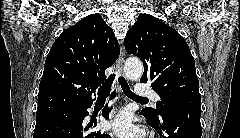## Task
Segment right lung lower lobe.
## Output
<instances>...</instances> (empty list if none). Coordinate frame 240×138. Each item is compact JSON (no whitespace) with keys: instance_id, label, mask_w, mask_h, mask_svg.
<instances>
[{"instance_id":"98d812e1","label":"right lung lower lobe","mask_w":240,"mask_h":138,"mask_svg":"<svg viewBox=\"0 0 240 138\" xmlns=\"http://www.w3.org/2000/svg\"><path fill=\"white\" fill-rule=\"evenodd\" d=\"M115 94L114 91L112 96H115ZM92 103L72 106L37 116L33 138H112L109 134L101 131L88 132L92 125L86 127L82 125L84 118L89 114L87 109ZM108 115L109 110L106 106L103 110V116L107 119Z\"/></svg>"}]
</instances>
